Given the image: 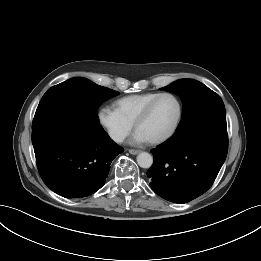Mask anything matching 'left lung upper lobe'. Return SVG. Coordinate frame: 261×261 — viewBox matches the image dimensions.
Masks as SVG:
<instances>
[{
	"mask_svg": "<svg viewBox=\"0 0 261 261\" xmlns=\"http://www.w3.org/2000/svg\"><path fill=\"white\" fill-rule=\"evenodd\" d=\"M177 94L183 102V113L175 134L194 130L206 123L226 119L225 106L218 94L193 79H180L163 88Z\"/></svg>",
	"mask_w": 261,
	"mask_h": 261,
	"instance_id": "5c2ea615",
	"label": "left lung upper lobe"
}]
</instances>
